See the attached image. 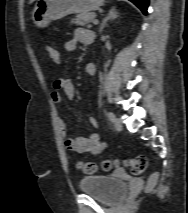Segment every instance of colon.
<instances>
[{
  "mask_svg": "<svg viewBox=\"0 0 188 213\" xmlns=\"http://www.w3.org/2000/svg\"><path fill=\"white\" fill-rule=\"evenodd\" d=\"M46 49L51 59L53 60L58 59L59 52L57 49H55L52 46H47ZM118 164H123L125 167H128L133 174H140L145 170L147 166V159L145 156L141 155V156L123 160L121 162L110 161V160H104L100 164H97L94 162H85V163H80L79 168L87 174H94L99 170L110 171L114 166ZM154 177H156V174H154Z\"/></svg>",
  "mask_w": 188,
  "mask_h": 213,
  "instance_id": "1",
  "label": "colon"
}]
</instances>
